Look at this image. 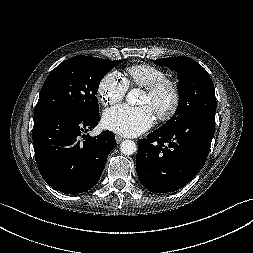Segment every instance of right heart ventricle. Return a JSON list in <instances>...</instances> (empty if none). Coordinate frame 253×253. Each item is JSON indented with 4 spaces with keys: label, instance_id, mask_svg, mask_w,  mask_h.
Here are the masks:
<instances>
[{
    "label": "right heart ventricle",
    "instance_id": "1",
    "mask_svg": "<svg viewBox=\"0 0 253 253\" xmlns=\"http://www.w3.org/2000/svg\"><path fill=\"white\" fill-rule=\"evenodd\" d=\"M163 78L165 74L160 68L148 63H140L127 67L123 79L127 86L147 87Z\"/></svg>",
    "mask_w": 253,
    "mask_h": 253
}]
</instances>
